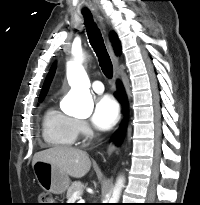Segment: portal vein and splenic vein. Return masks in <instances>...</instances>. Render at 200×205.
Listing matches in <instances>:
<instances>
[{
    "label": "portal vein and splenic vein",
    "mask_w": 200,
    "mask_h": 205,
    "mask_svg": "<svg viewBox=\"0 0 200 205\" xmlns=\"http://www.w3.org/2000/svg\"><path fill=\"white\" fill-rule=\"evenodd\" d=\"M81 195H82V192H80V191L74 192L70 201H76V200L80 199Z\"/></svg>",
    "instance_id": "1"
}]
</instances>
